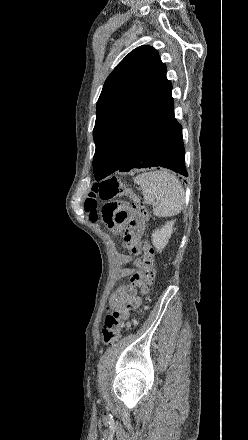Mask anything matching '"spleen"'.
Listing matches in <instances>:
<instances>
[{"instance_id": "3e777b00", "label": "spleen", "mask_w": 248, "mask_h": 440, "mask_svg": "<svg viewBox=\"0 0 248 440\" xmlns=\"http://www.w3.org/2000/svg\"><path fill=\"white\" fill-rule=\"evenodd\" d=\"M134 182L141 186L145 202L153 205L156 217H171L183 210L185 192L174 175L153 171L137 175Z\"/></svg>"}]
</instances>
